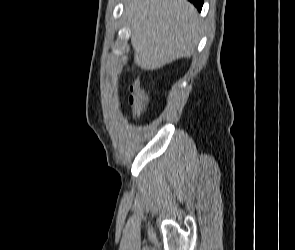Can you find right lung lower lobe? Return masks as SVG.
<instances>
[{
    "label": "right lung lower lobe",
    "instance_id": "98d812e1",
    "mask_svg": "<svg viewBox=\"0 0 295 250\" xmlns=\"http://www.w3.org/2000/svg\"><path fill=\"white\" fill-rule=\"evenodd\" d=\"M189 1L192 2L199 11H201L204 0H189Z\"/></svg>",
    "mask_w": 295,
    "mask_h": 250
}]
</instances>
